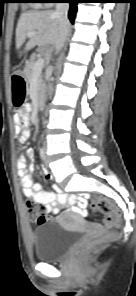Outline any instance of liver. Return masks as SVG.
Wrapping results in <instances>:
<instances>
[{
	"label": "liver",
	"mask_w": 136,
	"mask_h": 296,
	"mask_svg": "<svg viewBox=\"0 0 136 296\" xmlns=\"http://www.w3.org/2000/svg\"><path fill=\"white\" fill-rule=\"evenodd\" d=\"M62 28L61 20L55 15L52 10L46 11H28L22 13L16 28V48L19 51V56L22 55V45L28 32L35 31L37 34L30 37L24 51H29L36 45H55Z\"/></svg>",
	"instance_id": "liver-1"
}]
</instances>
